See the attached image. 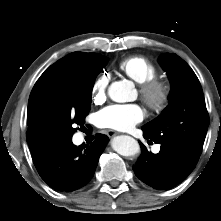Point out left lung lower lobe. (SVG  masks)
<instances>
[{"mask_svg":"<svg viewBox=\"0 0 221 221\" xmlns=\"http://www.w3.org/2000/svg\"><path fill=\"white\" fill-rule=\"evenodd\" d=\"M145 139H150L142 128ZM142 154L133 167L135 175L147 185L158 189H170L181 183L195 168L199 157L182 147L161 144L160 152L155 155L139 141Z\"/></svg>","mask_w":221,"mask_h":221,"instance_id":"0a47b994","label":"left lung lower lobe"}]
</instances>
